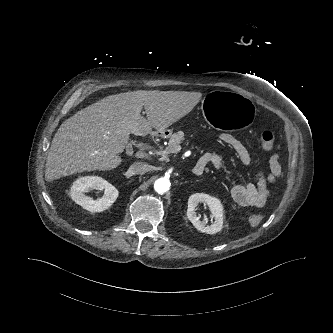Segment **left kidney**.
<instances>
[{
  "label": "left kidney",
  "mask_w": 333,
  "mask_h": 333,
  "mask_svg": "<svg viewBox=\"0 0 333 333\" xmlns=\"http://www.w3.org/2000/svg\"><path fill=\"white\" fill-rule=\"evenodd\" d=\"M206 203L214 217V222L211 225H207L206 221H201L200 218L196 215L195 207L198 204ZM187 217L194 225L196 229L203 233L215 234L221 231L223 226V206L219 199L212 197L204 193H195L192 194L188 199V209Z\"/></svg>",
  "instance_id": "1"
}]
</instances>
